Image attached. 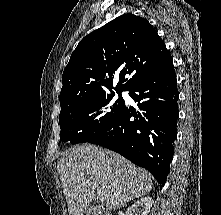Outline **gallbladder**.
<instances>
[{"mask_svg":"<svg viewBox=\"0 0 221 215\" xmlns=\"http://www.w3.org/2000/svg\"><path fill=\"white\" fill-rule=\"evenodd\" d=\"M86 215H104V210L99 207H91L88 209Z\"/></svg>","mask_w":221,"mask_h":215,"instance_id":"1","label":"gallbladder"}]
</instances>
